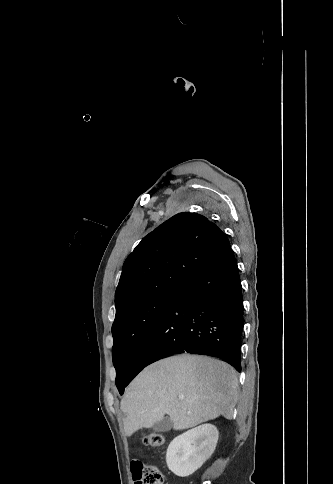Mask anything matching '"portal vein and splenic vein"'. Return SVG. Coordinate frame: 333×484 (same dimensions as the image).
<instances>
[{
	"label": "portal vein and splenic vein",
	"instance_id": "18ae733b",
	"mask_svg": "<svg viewBox=\"0 0 333 484\" xmlns=\"http://www.w3.org/2000/svg\"><path fill=\"white\" fill-rule=\"evenodd\" d=\"M184 398V396H179V399L182 400Z\"/></svg>",
	"mask_w": 333,
	"mask_h": 484
}]
</instances>
